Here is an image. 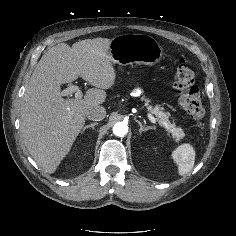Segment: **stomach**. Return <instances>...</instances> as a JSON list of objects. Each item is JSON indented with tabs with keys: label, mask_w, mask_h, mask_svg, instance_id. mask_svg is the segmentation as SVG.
<instances>
[{
	"label": "stomach",
	"mask_w": 236,
	"mask_h": 236,
	"mask_svg": "<svg viewBox=\"0 0 236 236\" xmlns=\"http://www.w3.org/2000/svg\"><path fill=\"white\" fill-rule=\"evenodd\" d=\"M108 54L114 64L153 66L161 61L163 48L147 34H121L111 40Z\"/></svg>",
	"instance_id": "stomach-1"
}]
</instances>
